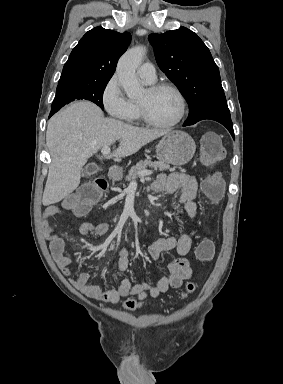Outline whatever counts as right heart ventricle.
Masks as SVG:
<instances>
[{
    "mask_svg": "<svg viewBox=\"0 0 283 384\" xmlns=\"http://www.w3.org/2000/svg\"><path fill=\"white\" fill-rule=\"evenodd\" d=\"M132 106H133V113H132L131 121H137L140 119L139 107H138V104L135 102H132Z\"/></svg>",
    "mask_w": 283,
    "mask_h": 384,
    "instance_id": "e07e8e85",
    "label": "right heart ventricle"
}]
</instances>
